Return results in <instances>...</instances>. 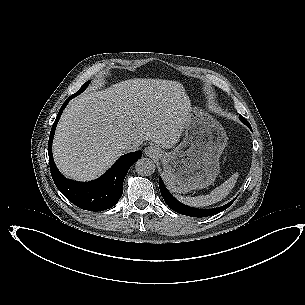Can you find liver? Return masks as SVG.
I'll return each instance as SVG.
<instances>
[{
  "label": "liver",
  "instance_id": "1",
  "mask_svg": "<svg viewBox=\"0 0 305 305\" xmlns=\"http://www.w3.org/2000/svg\"><path fill=\"white\" fill-rule=\"evenodd\" d=\"M162 87L178 95L184 91L175 81H166ZM146 90L142 80L130 79L73 99L60 118L53 141L60 172L78 181L94 180L126 152V140L151 141L163 148L175 145L190 105L156 111Z\"/></svg>",
  "mask_w": 305,
  "mask_h": 305
}]
</instances>
